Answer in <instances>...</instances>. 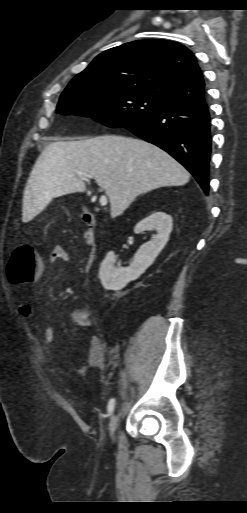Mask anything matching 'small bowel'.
<instances>
[{"label": "small bowel", "mask_w": 247, "mask_h": 513, "mask_svg": "<svg viewBox=\"0 0 247 513\" xmlns=\"http://www.w3.org/2000/svg\"><path fill=\"white\" fill-rule=\"evenodd\" d=\"M70 259L69 253L63 247H56L50 254V262L56 264L58 262H68ZM20 314L25 318H31L33 315L32 308L27 303H22L19 306ZM73 322L80 328H90L93 321L90 317V312L85 309H77L72 313ZM37 330L42 336V341L45 346L50 345L55 340V330L50 326H37ZM119 347L114 346L111 349V354L117 356ZM106 360V351L102 339L99 336L93 335L90 338L86 360L82 364L74 367L75 372L82 375L92 368L102 367Z\"/></svg>", "instance_id": "c3829d8e"}]
</instances>
